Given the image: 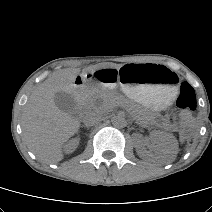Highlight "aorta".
Instances as JSON below:
<instances>
[{"label":"aorta","mask_w":212,"mask_h":212,"mask_svg":"<svg viewBox=\"0 0 212 212\" xmlns=\"http://www.w3.org/2000/svg\"><path fill=\"white\" fill-rule=\"evenodd\" d=\"M126 119L122 115L114 116L112 119V124L116 128H124L126 126Z\"/></svg>","instance_id":"aorta-1"}]
</instances>
